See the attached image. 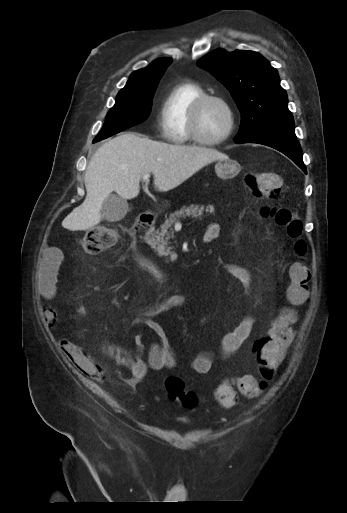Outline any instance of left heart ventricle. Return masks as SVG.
Returning a JSON list of instances; mask_svg holds the SVG:
<instances>
[{"label": "left heart ventricle", "instance_id": "b2bd125f", "mask_svg": "<svg viewBox=\"0 0 347 513\" xmlns=\"http://www.w3.org/2000/svg\"><path fill=\"white\" fill-rule=\"evenodd\" d=\"M229 123L225 108L218 102L210 101L202 109L199 130L204 138L215 139L222 136Z\"/></svg>", "mask_w": 347, "mask_h": 513}]
</instances>
